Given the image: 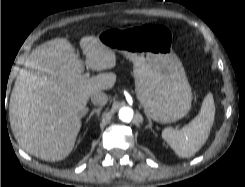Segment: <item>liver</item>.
Segmentation results:
<instances>
[{
	"mask_svg": "<svg viewBox=\"0 0 245 187\" xmlns=\"http://www.w3.org/2000/svg\"><path fill=\"white\" fill-rule=\"evenodd\" d=\"M80 47L92 70L115 67V52L98 37L81 38ZM83 72L82 60L65 38L32 50L16 77L9 104L11 129L27 153L60 161L72 152L89 98L116 82L114 73L89 77Z\"/></svg>",
	"mask_w": 245,
	"mask_h": 187,
	"instance_id": "liver-1",
	"label": "liver"
}]
</instances>
